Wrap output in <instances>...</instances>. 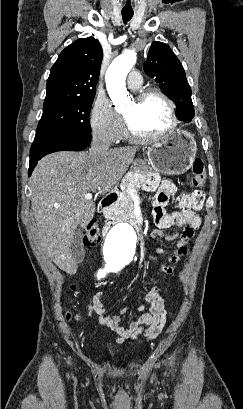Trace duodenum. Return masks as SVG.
Listing matches in <instances>:
<instances>
[{
    "mask_svg": "<svg viewBox=\"0 0 243 409\" xmlns=\"http://www.w3.org/2000/svg\"><path fill=\"white\" fill-rule=\"evenodd\" d=\"M118 200V194L116 191L107 195L104 199H102L98 205V211L104 212L112 208ZM131 225L134 227L136 231L139 232V223L136 220H131ZM112 225V222H108L105 224L103 231L107 232Z\"/></svg>",
    "mask_w": 243,
    "mask_h": 409,
    "instance_id": "410a0bca",
    "label": "duodenum"
}]
</instances>
